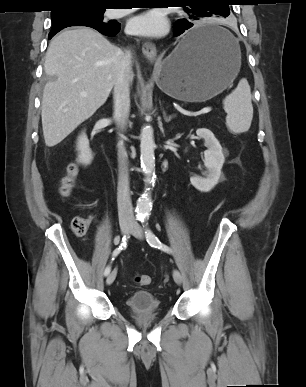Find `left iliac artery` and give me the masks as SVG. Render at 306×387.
Wrapping results in <instances>:
<instances>
[{
  "instance_id": "1",
  "label": "left iliac artery",
  "mask_w": 306,
  "mask_h": 387,
  "mask_svg": "<svg viewBox=\"0 0 306 387\" xmlns=\"http://www.w3.org/2000/svg\"><path fill=\"white\" fill-rule=\"evenodd\" d=\"M141 221L144 224L143 226L146 228L145 234H146V239L148 244L151 247L161 249L167 253H171L172 252L171 249L167 245L162 244L159 241V239L155 236V234L147 227L146 218H142Z\"/></svg>"
}]
</instances>
